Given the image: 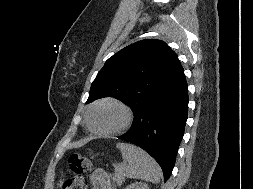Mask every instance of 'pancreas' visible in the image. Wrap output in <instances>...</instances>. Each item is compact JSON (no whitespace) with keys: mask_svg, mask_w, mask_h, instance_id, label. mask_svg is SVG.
<instances>
[{"mask_svg":"<svg viewBox=\"0 0 253 189\" xmlns=\"http://www.w3.org/2000/svg\"><path fill=\"white\" fill-rule=\"evenodd\" d=\"M113 180L117 183V185L121 186L125 181V174L123 169L115 170V174L113 176Z\"/></svg>","mask_w":253,"mask_h":189,"instance_id":"obj_1","label":"pancreas"}]
</instances>
